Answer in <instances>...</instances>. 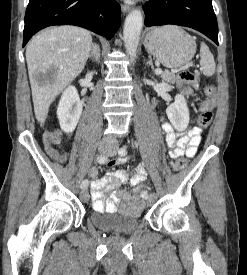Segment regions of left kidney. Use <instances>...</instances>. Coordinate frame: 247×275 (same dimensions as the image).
Instances as JSON below:
<instances>
[{"mask_svg": "<svg viewBox=\"0 0 247 275\" xmlns=\"http://www.w3.org/2000/svg\"><path fill=\"white\" fill-rule=\"evenodd\" d=\"M166 114L177 131H184L188 127L189 109L183 95L177 94L175 96V101L167 107Z\"/></svg>", "mask_w": 247, "mask_h": 275, "instance_id": "left-kidney-1", "label": "left kidney"}]
</instances>
